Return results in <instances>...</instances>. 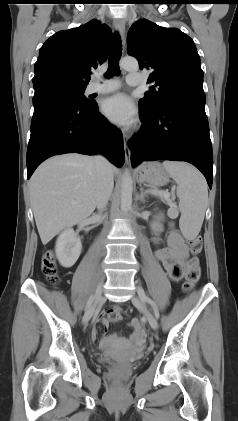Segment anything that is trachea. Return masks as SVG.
I'll return each instance as SVG.
<instances>
[{"label":"trachea","instance_id":"3493384b","mask_svg":"<svg viewBox=\"0 0 238 421\" xmlns=\"http://www.w3.org/2000/svg\"><path fill=\"white\" fill-rule=\"evenodd\" d=\"M122 54V44L120 36L115 33L112 41V46L110 50L109 60H108V70L106 73V77L110 78L113 75L119 73V59Z\"/></svg>","mask_w":238,"mask_h":421}]
</instances>
